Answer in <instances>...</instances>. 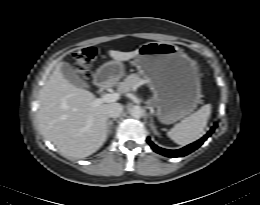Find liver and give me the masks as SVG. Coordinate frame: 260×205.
<instances>
[{
    "label": "liver",
    "instance_id": "liver-1",
    "mask_svg": "<svg viewBox=\"0 0 260 205\" xmlns=\"http://www.w3.org/2000/svg\"><path fill=\"white\" fill-rule=\"evenodd\" d=\"M111 58L128 61L138 50L120 52L110 50ZM58 63L40 91L38 118L42 134L66 156L83 158L96 152L107 139L110 104L92 107L95 96L90 91L68 82Z\"/></svg>",
    "mask_w": 260,
    "mask_h": 205
}]
</instances>
